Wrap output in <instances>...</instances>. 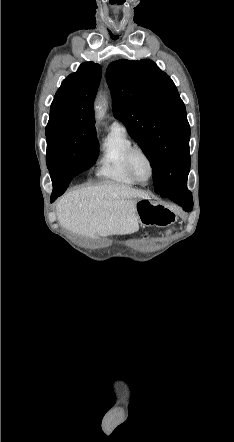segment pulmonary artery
<instances>
[{
  "instance_id": "e3ab8cb5",
  "label": "pulmonary artery",
  "mask_w": 234,
  "mask_h": 442,
  "mask_svg": "<svg viewBox=\"0 0 234 442\" xmlns=\"http://www.w3.org/2000/svg\"><path fill=\"white\" fill-rule=\"evenodd\" d=\"M112 127H119V128H123V129H125L123 123L120 122V121H118V120H115V121L113 122Z\"/></svg>"
}]
</instances>
